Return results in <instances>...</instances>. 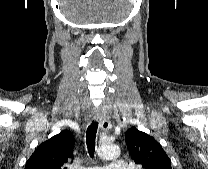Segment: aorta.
I'll return each mask as SVG.
<instances>
[{
	"label": "aorta",
	"instance_id": "obj_1",
	"mask_svg": "<svg viewBox=\"0 0 208 169\" xmlns=\"http://www.w3.org/2000/svg\"><path fill=\"white\" fill-rule=\"evenodd\" d=\"M98 156L103 160H112L120 156V148L112 143H102L98 148Z\"/></svg>",
	"mask_w": 208,
	"mask_h": 169
}]
</instances>
